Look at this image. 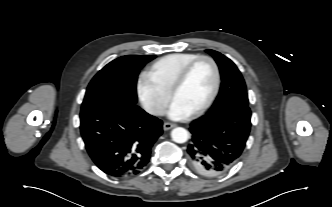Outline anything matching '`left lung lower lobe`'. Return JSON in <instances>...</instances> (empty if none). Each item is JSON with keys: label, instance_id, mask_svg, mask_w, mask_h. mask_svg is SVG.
I'll use <instances>...</instances> for the list:
<instances>
[{"label": "left lung lower lobe", "instance_id": "0a47b994", "mask_svg": "<svg viewBox=\"0 0 332 207\" xmlns=\"http://www.w3.org/2000/svg\"><path fill=\"white\" fill-rule=\"evenodd\" d=\"M248 105H229L208 112L190 124L187 147L190 166L199 174L215 177L228 171L241 156L251 128Z\"/></svg>", "mask_w": 332, "mask_h": 207}]
</instances>
